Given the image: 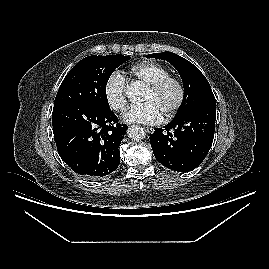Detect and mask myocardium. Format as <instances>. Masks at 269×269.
Segmentation results:
<instances>
[{
    "mask_svg": "<svg viewBox=\"0 0 269 269\" xmlns=\"http://www.w3.org/2000/svg\"><path fill=\"white\" fill-rule=\"evenodd\" d=\"M169 84H174L178 89V98L171 109L163 116L165 120L171 119L183 106L186 99V87L183 80L177 76L168 75L148 86L153 93H159Z\"/></svg>",
    "mask_w": 269,
    "mask_h": 269,
    "instance_id": "1",
    "label": "myocardium"
}]
</instances>
